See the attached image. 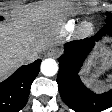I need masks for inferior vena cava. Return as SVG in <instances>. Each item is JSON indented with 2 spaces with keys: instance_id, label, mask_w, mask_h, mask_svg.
Returning <instances> with one entry per match:
<instances>
[{
  "instance_id": "1",
  "label": "inferior vena cava",
  "mask_w": 112,
  "mask_h": 112,
  "mask_svg": "<svg viewBox=\"0 0 112 112\" xmlns=\"http://www.w3.org/2000/svg\"><path fill=\"white\" fill-rule=\"evenodd\" d=\"M38 57V53L35 51H25L20 54V60L23 63L33 62Z\"/></svg>"
}]
</instances>
